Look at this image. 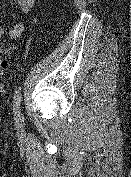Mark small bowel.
Listing matches in <instances>:
<instances>
[{
  "mask_svg": "<svg viewBox=\"0 0 131 177\" xmlns=\"http://www.w3.org/2000/svg\"><path fill=\"white\" fill-rule=\"evenodd\" d=\"M23 14V20L16 23L11 29L5 30L0 26V38L7 36L10 39H17L21 37L26 30V21L30 15L31 10L36 4V0H17Z\"/></svg>",
  "mask_w": 131,
  "mask_h": 177,
  "instance_id": "c3829d8e",
  "label": "small bowel"
}]
</instances>
